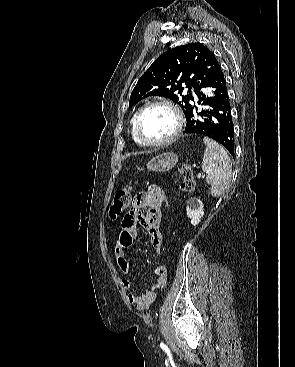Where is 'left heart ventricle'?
Listing matches in <instances>:
<instances>
[{"instance_id":"b2bd125f","label":"left heart ventricle","mask_w":295,"mask_h":367,"mask_svg":"<svg viewBox=\"0 0 295 367\" xmlns=\"http://www.w3.org/2000/svg\"><path fill=\"white\" fill-rule=\"evenodd\" d=\"M176 126L173 113L165 107L146 110L140 120V131L148 141H159L172 134Z\"/></svg>"}]
</instances>
